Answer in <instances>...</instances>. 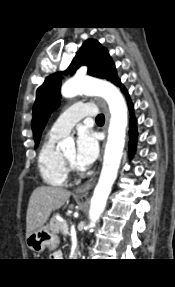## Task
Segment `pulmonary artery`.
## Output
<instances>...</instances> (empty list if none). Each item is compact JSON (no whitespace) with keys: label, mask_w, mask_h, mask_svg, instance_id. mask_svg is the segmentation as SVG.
Returning <instances> with one entry per match:
<instances>
[{"label":"pulmonary artery","mask_w":175,"mask_h":287,"mask_svg":"<svg viewBox=\"0 0 175 287\" xmlns=\"http://www.w3.org/2000/svg\"><path fill=\"white\" fill-rule=\"evenodd\" d=\"M96 113V107L93 104H73L53 123L50 133L63 137L70 132L78 121L86 116H94Z\"/></svg>","instance_id":"e3ab8cb5"}]
</instances>
